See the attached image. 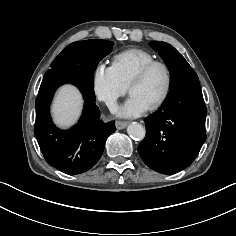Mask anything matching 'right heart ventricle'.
Instances as JSON below:
<instances>
[{
    "instance_id": "obj_1",
    "label": "right heart ventricle",
    "mask_w": 236,
    "mask_h": 236,
    "mask_svg": "<svg viewBox=\"0 0 236 236\" xmlns=\"http://www.w3.org/2000/svg\"><path fill=\"white\" fill-rule=\"evenodd\" d=\"M154 60L156 58L152 53L140 48H131L114 55L112 66L122 83L128 87L136 73Z\"/></svg>"
}]
</instances>
